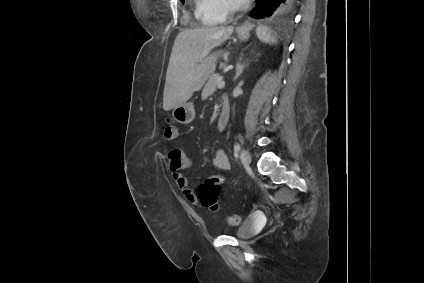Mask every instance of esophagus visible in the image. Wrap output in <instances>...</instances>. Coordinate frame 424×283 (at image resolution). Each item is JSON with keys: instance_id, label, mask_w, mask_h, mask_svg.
Masks as SVG:
<instances>
[{"instance_id": "34e87169", "label": "esophagus", "mask_w": 424, "mask_h": 283, "mask_svg": "<svg viewBox=\"0 0 424 283\" xmlns=\"http://www.w3.org/2000/svg\"><path fill=\"white\" fill-rule=\"evenodd\" d=\"M251 28V23L246 20L240 27H238L237 31L242 32V31H247Z\"/></svg>"}]
</instances>
